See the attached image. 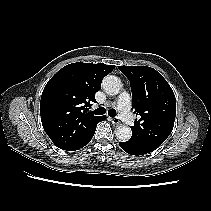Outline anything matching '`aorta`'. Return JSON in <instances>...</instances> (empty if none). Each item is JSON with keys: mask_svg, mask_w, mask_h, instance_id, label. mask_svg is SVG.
<instances>
[{"mask_svg": "<svg viewBox=\"0 0 211 211\" xmlns=\"http://www.w3.org/2000/svg\"><path fill=\"white\" fill-rule=\"evenodd\" d=\"M101 86L108 95H116L119 93L122 84L118 77L108 75L102 80ZM115 134L118 140L126 142L131 138L132 131L129 126L119 125L115 130Z\"/></svg>", "mask_w": 211, "mask_h": 211, "instance_id": "obj_1", "label": "aorta"}]
</instances>
